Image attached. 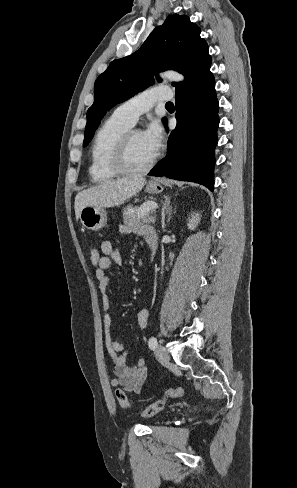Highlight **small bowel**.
<instances>
[{
  "mask_svg": "<svg viewBox=\"0 0 297 488\" xmlns=\"http://www.w3.org/2000/svg\"><path fill=\"white\" fill-rule=\"evenodd\" d=\"M119 232L124 236L134 234L140 237L149 248L151 257H154L157 249V235L150 227L121 225ZM101 252V259L95 276L102 296L105 345L114 365L115 379L112 380L111 384L114 387H123L127 392L138 394L147 378L145 360L140 358L134 364H129L130 347L125 343L116 342L111 330V300L107 293L110 276L107 272L114 264L120 265L122 263V255L108 240L102 241ZM148 320L149 310L139 311L137 315L139 326L145 328L148 325Z\"/></svg>",
  "mask_w": 297,
  "mask_h": 488,
  "instance_id": "1",
  "label": "small bowel"
}]
</instances>
